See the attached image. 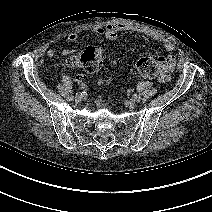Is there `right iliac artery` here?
I'll list each match as a JSON object with an SVG mask.
<instances>
[{"instance_id": "obj_1", "label": "right iliac artery", "mask_w": 212, "mask_h": 212, "mask_svg": "<svg viewBox=\"0 0 212 212\" xmlns=\"http://www.w3.org/2000/svg\"><path fill=\"white\" fill-rule=\"evenodd\" d=\"M73 99H74V96H73V95H68V96H67V100H68V101H72Z\"/></svg>"}]
</instances>
